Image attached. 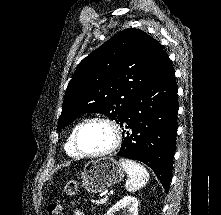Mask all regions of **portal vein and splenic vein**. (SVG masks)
Returning a JSON list of instances; mask_svg holds the SVG:
<instances>
[{
	"mask_svg": "<svg viewBox=\"0 0 221 215\" xmlns=\"http://www.w3.org/2000/svg\"><path fill=\"white\" fill-rule=\"evenodd\" d=\"M108 195H110V194H108ZM104 200H108V196H106V197L104 198Z\"/></svg>",
	"mask_w": 221,
	"mask_h": 215,
	"instance_id": "portal-vein-and-splenic-vein-1",
	"label": "portal vein and splenic vein"
}]
</instances>
